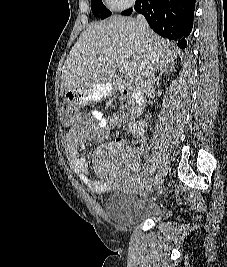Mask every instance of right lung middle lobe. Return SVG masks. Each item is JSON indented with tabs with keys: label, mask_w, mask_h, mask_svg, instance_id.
Here are the masks:
<instances>
[{
	"label": "right lung middle lobe",
	"mask_w": 227,
	"mask_h": 267,
	"mask_svg": "<svg viewBox=\"0 0 227 267\" xmlns=\"http://www.w3.org/2000/svg\"><path fill=\"white\" fill-rule=\"evenodd\" d=\"M91 10L94 16L100 17L101 19L111 15V11L103 5L101 0H91Z\"/></svg>",
	"instance_id": "1"
}]
</instances>
